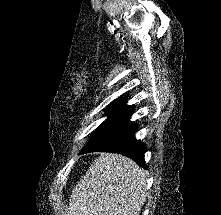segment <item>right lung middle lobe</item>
<instances>
[{"mask_svg": "<svg viewBox=\"0 0 221 215\" xmlns=\"http://www.w3.org/2000/svg\"><path fill=\"white\" fill-rule=\"evenodd\" d=\"M123 118L109 116L95 131L94 135L91 137L90 142L94 141L110 129H112L115 125H117ZM88 143V144H89Z\"/></svg>", "mask_w": 221, "mask_h": 215, "instance_id": "right-lung-middle-lobe-1", "label": "right lung middle lobe"}]
</instances>
